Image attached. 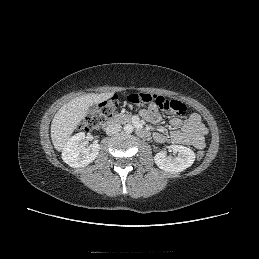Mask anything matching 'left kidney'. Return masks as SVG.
Listing matches in <instances>:
<instances>
[{
  "mask_svg": "<svg viewBox=\"0 0 259 259\" xmlns=\"http://www.w3.org/2000/svg\"><path fill=\"white\" fill-rule=\"evenodd\" d=\"M167 148L177 153V156L169 157L164 150L158 152L154 160L160 169L167 172H181L194 163L195 153L190 148L182 145H171Z\"/></svg>",
  "mask_w": 259,
  "mask_h": 259,
  "instance_id": "5707ae66",
  "label": "left kidney"
}]
</instances>
